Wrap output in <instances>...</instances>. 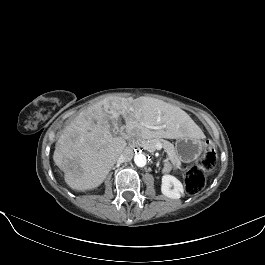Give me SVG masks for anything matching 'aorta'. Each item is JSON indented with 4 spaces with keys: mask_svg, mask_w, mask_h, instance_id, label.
Segmentation results:
<instances>
[{
    "mask_svg": "<svg viewBox=\"0 0 265 265\" xmlns=\"http://www.w3.org/2000/svg\"><path fill=\"white\" fill-rule=\"evenodd\" d=\"M134 162L138 167H144L147 163L145 154L139 152L136 153L134 156Z\"/></svg>",
    "mask_w": 265,
    "mask_h": 265,
    "instance_id": "aorta-1",
    "label": "aorta"
}]
</instances>
